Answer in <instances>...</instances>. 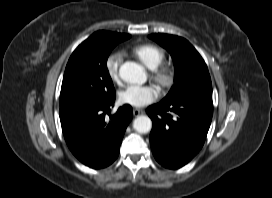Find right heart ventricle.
<instances>
[{
  "mask_svg": "<svg viewBox=\"0 0 272 198\" xmlns=\"http://www.w3.org/2000/svg\"><path fill=\"white\" fill-rule=\"evenodd\" d=\"M131 53L149 69H155L164 60V51L153 44L144 43L132 48Z\"/></svg>",
  "mask_w": 272,
  "mask_h": 198,
  "instance_id": "1",
  "label": "right heart ventricle"
}]
</instances>
